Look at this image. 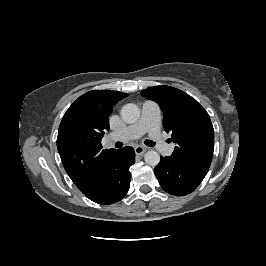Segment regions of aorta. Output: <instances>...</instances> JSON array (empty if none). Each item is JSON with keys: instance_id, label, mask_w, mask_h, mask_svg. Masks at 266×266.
I'll return each instance as SVG.
<instances>
[{"instance_id": "1", "label": "aorta", "mask_w": 266, "mask_h": 266, "mask_svg": "<svg viewBox=\"0 0 266 266\" xmlns=\"http://www.w3.org/2000/svg\"><path fill=\"white\" fill-rule=\"evenodd\" d=\"M140 117V109L136 104L128 103L125 104L121 109V118L126 123H134ZM145 162L155 167L160 162V155L154 150L147 151L144 155Z\"/></svg>"}]
</instances>
